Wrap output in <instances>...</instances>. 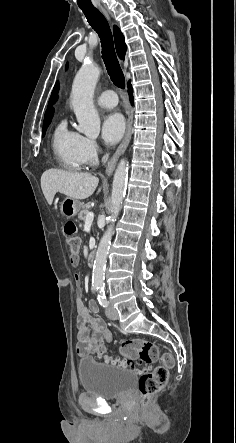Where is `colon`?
<instances>
[{
	"label": "colon",
	"instance_id": "1",
	"mask_svg": "<svg viewBox=\"0 0 236 443\" xmlns=\"http://www.w3.org/2000/svg\"><path fill=\"white\" fill-rule=\"evenodd\" d=\"M64 233L70 249V262L73 266L79 260V238L77 237V226L74 222L68 221L64 225ZM96 359L109 364H119L125 368H133L144 371L153 362L159 359L158 347L147 339H128L120 344V353L124 357L122 361L108 354L103 345H97L92 349ZM162 365L156 367L151 372L144 373L138 384L139 391L144 401H148L151 396L159 392L167 383L169 377L168 369L173 366V357L169 353L161 356Z\"/></svg>",
	"mask_w": 236,
	"mask_h": 443
}]
</instances>
